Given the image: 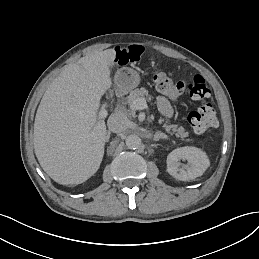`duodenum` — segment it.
<instances>
[{"instance_id": "1", "label": "duodenum", "mask_w": 259, "mask_h": 259, "mask_svg": "<svg viewBox=\"0 0 259 259\" xmlns=\"http://www.w3.org/2000/svg\"><path fill=\"white\" fill-rule=\"evenodd\" d=\"M124 95V91L123 90H119L118 92H117V96L120 98V97H122Z\"/></svg>"}]
</instances>
